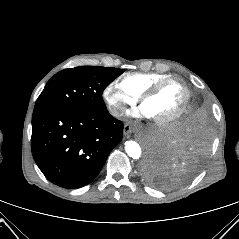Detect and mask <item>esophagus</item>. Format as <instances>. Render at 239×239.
<instances>
[{"label":"esophagus","instance_id":"obj_1","mask_svg":"<svg viewBox=\"0 0 239 239\" xmlns=\"http://www.w3.org/2000/svg\"><path fill=\"white\" fill-rule=\"evenodd\" d=\"M123 130H124V135L126 137H128L130 135V133L132 132L131 126L128 125V124L124 125V129Z\"/></svg>","mask_w":239,"mask_h":239}]
</instances>
